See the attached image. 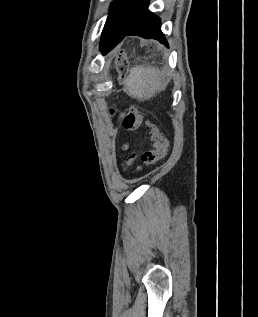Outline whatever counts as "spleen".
Masks as SVG:
<instances>
[{
	"label": "spleen",
	"instance_id": "1",
	"mask_svg": "<svg viewBox=\"0 0 258 317\" xmlns=\"http://www.w3.org/2000/svg\"><path fill=\"white\" fill-rule=\"evenodd\" d=\"M167 80L162 78L160 70L153 66H133L125 80V92L138 100H146L164 90Z\"/></svg>",
	"mask_w": 258,
	"mask_h": 317
}]
</instances>
